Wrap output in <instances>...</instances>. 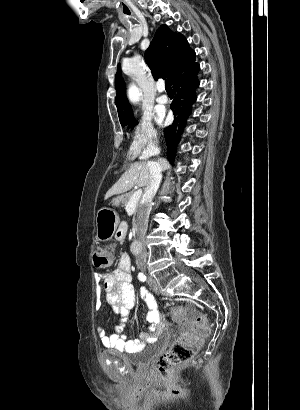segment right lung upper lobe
I'll return each instance as SVG.
<instances>
[{"label":"right lung upper lobe","mask_w":300,"mask_h":410,"mask_svg":"<svg viewBox=\"0 0 300 410\" xmlns=\"http://www.w3.org/2000/svg\"><path fill=\"white\" fill-rule=\"evenodd\" d=\"M195 60L192 50L183 35L172 32L166 25H161L155 33L150 46L145 52V61L154 77H168L173 79L186 70ZM117 91L116 106L120 122L133 118L131 105L125 96V84L120 65L115 76Z\"/></svg>","instance_id":"obj_1"}]
</instances>
